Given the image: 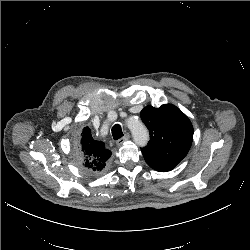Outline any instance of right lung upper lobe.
<instances>
[{"label": "right lung upper lobe", "instance_id": "1", "mask_svg": "<svg viewBox=\"0 0 250 250\" xmlns=\"http://www.w3.org/2000/svg\"><path fill=\"white\" fill-rule=\"evenodd\" d=\"M77 151L82 165L93 170L105 169L112 154L103 142L92 138L89 127H85L78 136Z\"/></svg>", "mask_w": 250, "mask_h": 250}]
</instances>
